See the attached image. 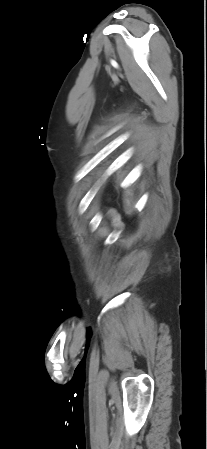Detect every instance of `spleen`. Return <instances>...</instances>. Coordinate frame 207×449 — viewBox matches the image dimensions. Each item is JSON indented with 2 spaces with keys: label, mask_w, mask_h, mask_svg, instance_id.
<instances>
[{
  "label": "spleen",
  "mask_w": 207,
  "mask_h": 449,
  "mask_svg": "<svg viewBox=\"0 0 207 449\" xmlns=\"http://www.w3.org/2000/svg\"><path fill=\"white\" fill-rule=\"evenodd\" d=\"M126 204H127V206H130V201L126 200Z\"/></svg>",
  "instance_id": "obj_1"
}]
</instances>
